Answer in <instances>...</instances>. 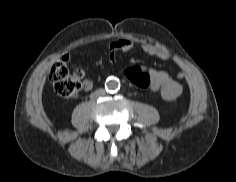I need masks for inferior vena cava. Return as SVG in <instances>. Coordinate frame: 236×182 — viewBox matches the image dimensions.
<instances>
[{
    "label": "inferior vena cava",
    "mask_w": 236,
    "mask_h": 182,
    "mask_svg": "<svg viewBox=\"0 0 236 182\" xmlns=\"http://www.w3.org/2000/svg\"><path fill=\"white\" fill-rule=\"evenodd\" d=\"M95 93L97 95H103L105 93V90L104 89H98Z\"/></svg>",
    "instance_id": "inferior-vena-cava-1"
}]
</instances>
